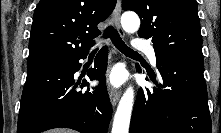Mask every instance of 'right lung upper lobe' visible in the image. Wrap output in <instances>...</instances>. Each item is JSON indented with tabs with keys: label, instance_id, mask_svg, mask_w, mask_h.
Returning <instances> with one entry per match:
<instances>
[{
	"label": "right lung upper lobe",
	"instance_id": "obj_1",
	"mask_svg": "<svg viewBox=\"0 0 221 133\" xmlns=\"http://www.w3.org/2000/svg\"><path fill=\"white\" fill-rule=\"evenodd\" d=\"M116 0H41L29 41L27 65L89 52L97 28L113 11Z\"/></svg>",
	"mask_w": 221,
	"mask_h": 133
}]
</instances>
